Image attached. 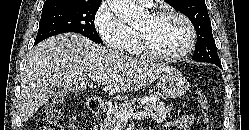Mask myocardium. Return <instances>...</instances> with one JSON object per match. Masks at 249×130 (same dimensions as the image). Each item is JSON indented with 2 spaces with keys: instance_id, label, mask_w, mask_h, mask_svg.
<instances>
[{
  "instance_id": "obj_1",
  "label": "myocardium",
  "mask_w": 249,
  "mask_h": 130,
  "mask_svg": "<svg viewBox=\"0 0 249 130\" xmlns=\"http://www.w3.org/2000/svg\"><path fill=\"white\" fill-rule=\"evenodd\" d=\"M148 15L153 20H156V19H159L165 16H174V17L179 18L186 25L188 32H189V38H188L186 45L181 51L175 54L166 55V54L157 52L152 47L147 33L144 30L137 28L136 32L138 35L141 50L144 55L156 61L173 62V61H177V60L184 58L186 55L190 53V51L193 49L196 43L197 34H196V29L192 21L185 14L174 9H157V10L150 11Z\"/></svg>"
}]
</instances>
